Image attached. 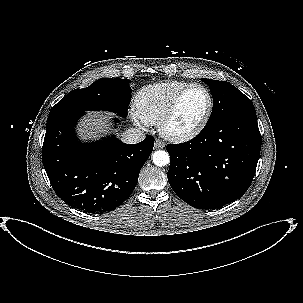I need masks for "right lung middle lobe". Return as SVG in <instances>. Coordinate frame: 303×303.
Wrapping results in <instances>:
<instances>
[{
    "mask_svg": "<svg viewBox=\"0 0 303 303\" xmlns=\"http://www.w3.org/2000/svg\"><path fill=\"white\" fill-rule=\"evenodd\" d=\"M130 82L121 78H101L86 88L69 92L51 108L49 116L105 110L126 117L132 92Z\"/></svg>",
    "mask_w": 303,
    "mask_h": 303,
    "instance_id": "1",
    "label": "right lung middle lobe"
}]
</instances>
